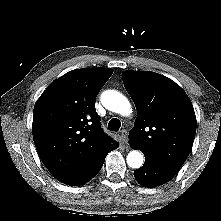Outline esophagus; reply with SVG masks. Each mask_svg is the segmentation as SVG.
I'll return each instance as SVG.
<instances>
[{
  "instance_id": "34e87169",
  "label": "esophagus",
  "mask_w": 221,
  "mask_h": 221,
  "mask_svg": "<svg viewBox=\"0 0 221 221\" xmlns=\"http://www.w3.org/2000/svg\"><path fill=\"white\" fill-rule=\"evenodd\" d=\"M120 138H121L122 142H123L124 144H126L127 141H128V132H127L126 130H122V131L120 132Z\"/></svg>"
}]
</instances>
